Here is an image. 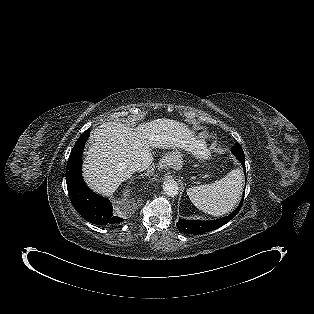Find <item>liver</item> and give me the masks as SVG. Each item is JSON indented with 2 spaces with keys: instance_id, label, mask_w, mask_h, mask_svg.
Returning a JSON list of instances; mask_svg holds the SVG:
<instances>
[{
  "instance_id": "1",
  "label": "liver",
  "mask_w": 314,
  "mask_h": 314,
  "mask_svg": "<svg viewBox=\"0 0 314 314\" xmlns=\"http://www.w3.org/2000/svg\"><path fill=\"white\" fill-rule=\"evenodd\" d=\"M201 145L186 125L175 120L156 119L135 129L120 122H106L93 132L83 175L92 189L110 196L131 177L127 171L131 163H141L144 170L152 164L151 149L193 152Z\"/></svg>"
}]
</instances>
